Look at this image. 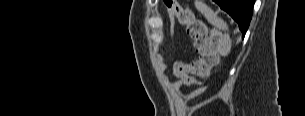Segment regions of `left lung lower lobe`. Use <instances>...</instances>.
I'll return each mask as SVG.
<instances>
[{"label":"left lung lower lobe","mask_w":305,"mask_h":116,"mask_svg":"<svg viewBox=\"0 0 305 116\" xmlns=\"http://www.w3.org/2000/svg\"><path fill=\"white\" fill-rule=\"evenodd\" d=\"M222 10L226 11L239 25L244 38L252 18L255 0H214Z\"/></svg>","instance_id":"obj_1"}]
</instances>
